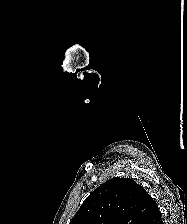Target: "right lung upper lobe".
<instances>
[{
	"label": "right lung upper lobe",
	"instance_id": "1",
	"mask_svg": "<svg viewBox=\"0 0 187 224\" xmlns=\"http://www.w3.org/2000/svg\"><path fill=\"white\" fill-rule=\"evenodd\" d=\"M69 224H163L159 209L132 179L113 178L97 187Z\"/></svg>",
	"mask_w": 187,
	"mask_h": 224
}]
</instances>
